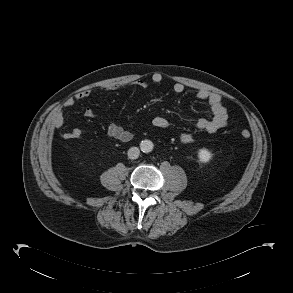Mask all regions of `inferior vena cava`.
Instances as JSON below:
<instances>
[{
  "instance_id": "inferior-vena-cava-1",
  "label": "inferior vena cava",
  "mask_w": 293,
  "mask_h": 293,
  "mask_svg": "<svg viewBox=\"0 0 293 293\" xmlns=\"http://www.w3.org/2000/svg\"><path fill=\"white\" fill-rule=\"evenodd\" d=\"M127 154L129 159H137L139 157L140 150L137 147H131Z\"/></svg>"
}]
</instances>
